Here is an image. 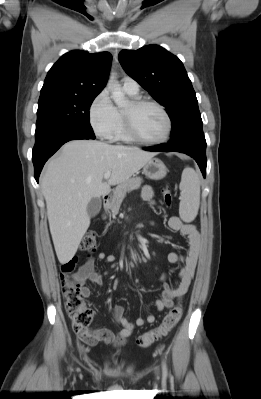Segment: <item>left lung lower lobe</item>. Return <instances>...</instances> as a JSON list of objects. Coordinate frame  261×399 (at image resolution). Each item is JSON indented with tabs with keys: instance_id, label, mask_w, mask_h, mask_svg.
Listing matches in <instances>:
<instances>
[{
	"instance_id": "1",
	"label": "left lung lower lobe",
	"mask_w": 261,
	"mask_h": 399,
	"mask_svg": "<svg viewBox=\"0 0 261 399\" xmlns=\"http://www.w3.org/2000/svg\"><path fill=\"white\" fill-rule=\"evenodd\" d=\"M146 151L180 152L191 156L199 165L203 176H206V140L200 137L183 143H164L154 147L144 148Z\"/></svg>"
}]
</instances>
